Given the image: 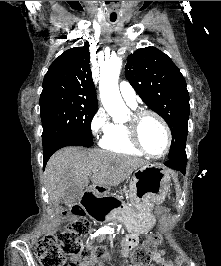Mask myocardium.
I'll return each instance as SVG.
<instances>
[{
  "label": "myocardium",
  "instance_id": "f54148a6",
  "mask_svg": "<svg viewBox=\"0 0 221 266\" xmlns=\"http://www.w3.org/2000/svg\"><path fill=\"white\" fill-rule=\"evenodd\" d=\"M146 116H152L154 117L163 127L166 135V145L164 150L160 154H152L150 153L142 144L139 136V128L141 121L146 117ZM126 127L128 129L129 133V138L132 142V144L144 155L152 158V159H161L165 157L170 148H171V143H172V135L170 128L167 124V122L155 111L152 110H138L132 113L130 116L129 120L126 123Z\"/></svg>",
  "mask_w": 221,
  "mask_h": 266
}]
</instances>
